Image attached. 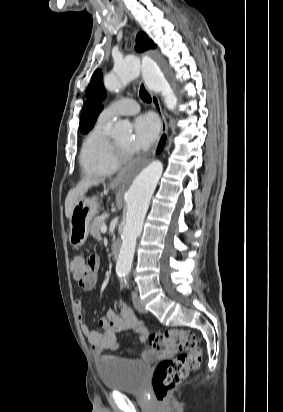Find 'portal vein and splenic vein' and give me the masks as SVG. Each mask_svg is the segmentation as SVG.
Returning <instances> with one entry per match:
<instances>
[{"label": "portal vein and splenic vein", "mask_w": 283, "mask_h": 412, "mask_svg": "<svg viewBox=\"0 0 283 412\" xmlns=\"http://www.w3.org/2000/svg\"><path fill=\"white\" fill-rule=\"evenodd\" d=\"M100 230L102 233H105L107 231V226L106 225L101 226Z\"/></svg>", "instance_id": "portal-vein-and-splenic-vein-1"}]
</instances>
